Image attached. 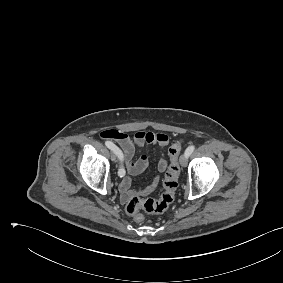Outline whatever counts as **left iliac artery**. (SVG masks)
<instances>
[{
  "mask_svg": "<svg viewBox=\"0 0 283 283\" xmlns=\"http://www.w3.org/2000/svg\"><path fill=\"white\" fill-rule=\"evenodd\" d=\"M194 149H195V146H194V145L189 146V147L185 150L186 156H190L191 153L194 151Z\"/></svg>",
  "mask_w": 283,
  "mask_h": 283,
  "instance_id": "left-iliac-artery-1",
  "label": "left iliac artery"
}]
</instances>
